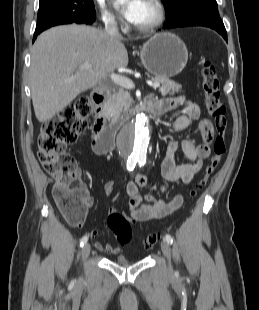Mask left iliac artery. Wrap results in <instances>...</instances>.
<instances>
[{
    "instance_id": "obj_1",
    "label": "left iliac artery",
    "mask_w": 259,
    "mask_h": 310,
    "mask_svg": "<svg viewBox=\"0 0 259 310\" xmlns=\"http://www.w3.org/2000/svg\"><path fill=\"white\" fill-rule=\"evenodd\" d=\"M144 163H145V162L139 161L140 166L144 165ZM165 239H166V241H167L169 244H173V238L171 237V235L166 234Z\"/></svg>"
}]
</instances>
